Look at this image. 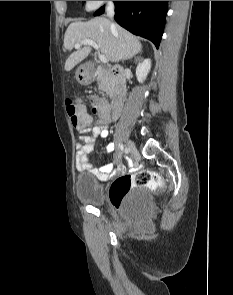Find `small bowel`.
I'll list each match as a JSON object with an SVG mask.
<instances>
[{"label": "small bowel", "instance_id": "obj_1", "mask_svg": "<svg viewBox=\"0 0 233 295\" xmlns=\"http://www.w3.org/2000/svg\"><path fill=\"white\" fill-rule=\"evenodd\" d=\"M97 104L105 110L106 106L103 101H97ZM109 118L104 117L103 122L94 125L93 127H86L78 129L80 133V142L77 143V157L76 168L80 172H90L97 179L107 181L115 172L123 169V164L120 157H116L113 163H108L100 168H94L89 161V154L95 146L96 139L107 138L109 135L108 123ZM90 133L89 135H87ZM115 149V143L109 142L106 146V152L111 153Z\"/></svg>", "mask_w": 233, "mask_h": 295}]
</instances>
